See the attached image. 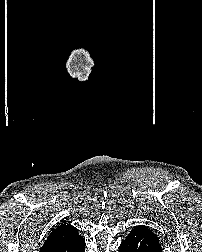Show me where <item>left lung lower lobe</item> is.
I'll return each mask as SVG.
<instances>
[{
	"instance_id": "1",
	"label": "left lung lower lobe",
	"mask_w": 202,
	"mask_h": 252,
	"mask_svg": "<svg viewBox=\"0 0 202 252\" xmlns=\"http://www.w3.org/2000/svg\"><path fill=\"white\" fill-rule=\"evenodd\" d=\"M119 252H162V247L155 233L146 226L139 225L122 241Z\"/></svg>"
}]
</instances>
